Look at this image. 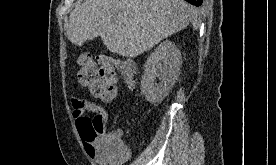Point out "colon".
I'll list each match as a JSON object with an SVG mask.
<instances>
[{
    "instance_id": "1",
    "label": "colon",
    "mask_w": 276,
    "mask_h": 165,
    "mask_svg": "<svg viewBox=\"0 0 276 165\" xmlns=\"http://www.w3.org/2000/svg\"><path fill=\"white\" fill-rule=\"evenodd\" d=\"M78 80L95 98L111 101L117 93L119 76L128 84L134 82L135 70L133 64L125 59L102 54L95 60L90 54L78 56ZM82 140L88 146L105 142L109 151L122 155L119 143L111 135L104 133L100 124L89 117H82L78 123Z\"/></svg>"
}]
</instances>
